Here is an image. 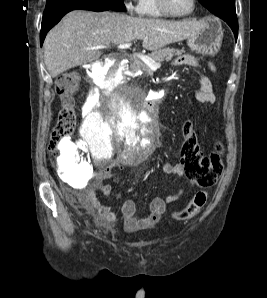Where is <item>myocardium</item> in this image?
I'll return each instance as SVG.
<instances>
[{
	"label": "myocardium",
	"mask_w": 267,
	"mask_h": 298,
	"mask_svg": "<svg viewBox=\"0 0 267 298\" xmlns=\"http://www.w3.org/2000/svg\"><path fill=\"white\" fill-rule=\"evenodd\" d=\"M156 4H157L158 9L162 13H164L166 16L175 17V18H183V17L190 16L194 12L195 6H196V0H192V5H191L190 10L188 12L182 13V14H177V13H174L173 11H171V9L167 5L166 0H156Z\"/></svg>",
	"instance_id": "obj_1"
}]
</instances>
